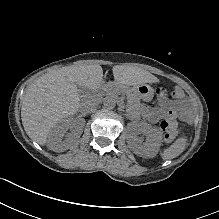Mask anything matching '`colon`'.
<instances>
[{
    "instance_id": "colon-1",
    "label": "colon",
    "mask_w": 219,
    "mask_h": 219,
    "mask_svg": "<svg viewBox=\"0 0 219 219\" xmlns=\"http://www.w3.org/2000/svg\"><path fill=\"white\" fill-rule=\"evenodd\" d=\"M172 96L174 98H179L185 96V93L180 87L177 86L173 90ZM160 127L164 132L165 140L167 142L173 141L177 137L179 131L175 113L172 111L167 112L160 123Z\"/></svg>"
}]
</instances>
